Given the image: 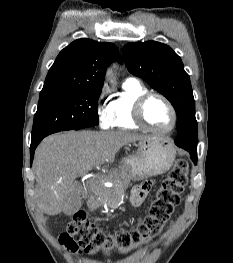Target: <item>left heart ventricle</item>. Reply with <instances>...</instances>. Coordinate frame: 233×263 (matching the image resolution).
Listing matches in <instances>:
<instances>
[{"label":"left heart ventricle","mask_w":233,"mask_h":263,"mask_svg":"<svg viewBox=\"0 0 233 263\" xmlns=\"http://www.w3.org/2000/svg\"><path fill=\"white\" fill-rule=\"evenodd\" d=\"M144 114L148 123L156 129H167L172 123L170 110L159 98H152L147 102Z\"/></svg>","instance_id":"obj_1"}]
</instances>
